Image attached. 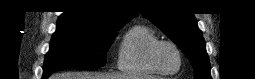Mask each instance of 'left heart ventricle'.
<instances>
[{
	"mask_svg": "<svg viewBox=\"0 0 255 79\" xmlns=\"http://www.w3.org/2000/svg\"><path fill=\"white\" fill-rule=\"evenodd\" d=\"M159 64L168 70H175L179 65V58L175 50L167 45L161 46L157 51Z\"/></svg>",
	"mask_w": 255,
	"mask_h": 79,
	"instance_id": "1",
	"label": "left heart ventricle"
}]
</instances>
